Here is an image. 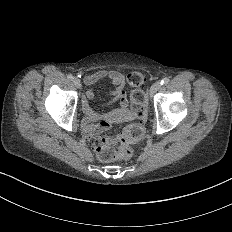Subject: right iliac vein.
Returning <instances> with one entry per match:
<instances>
[{"label":"right iliac vein","mask_w":232,"mask_h":232,"mask_svg":"<svg viewBox=\"0 0 232 232\" xmlns=\"http://www.w3.org/2000/svg\"><path fill=\"white\" fill-rule=\"evenodd\" d=\"M74 84H76V86H77L78 88H81V80H80L79 78H76V79L74 80Z\"/></svg>","instance_id":"1"}]
</instances>
